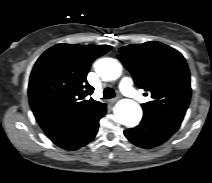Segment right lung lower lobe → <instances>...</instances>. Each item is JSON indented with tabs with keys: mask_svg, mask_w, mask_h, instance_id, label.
Here are the masks:
<instances>
[{
	"mask_svg": "<svg viewBox=\"0 0 212 183\" xmlns=\"http://www.w3.org/2000/svg\"><path fill=\"white\" fill-rule=\"evenodd\" d=\"M103 112L96 120L89 123L79 130L64 135L62 137L51 139L57 146L66 150H76L88 144L96 135L99 126V120L105 115Z\"/></svg>",
	"mask_w": 212,
	"mask_h": 183,
	"instance_id": "obj_1",
	"label": "right lung lower lobe"
}]
</instances>
